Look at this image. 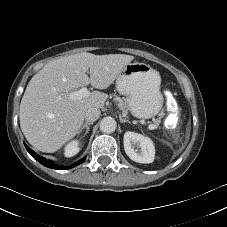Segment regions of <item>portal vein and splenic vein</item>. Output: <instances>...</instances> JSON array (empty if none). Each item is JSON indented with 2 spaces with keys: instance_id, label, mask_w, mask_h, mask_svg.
Here are the masks:
<instances>
[{
  "instance_id": "1",
  "label": "portal vein and splenic vein",
  "mask_w": 227,
  "mask_h": 227,
  "mask_svg": "<svg viewBox=\"0 0 227 227\" xmlns=\"http://www.w3.org/2000/svg\"><path fill=\"white\" fill-rule=\"evenodd\" d=\"M89 94H90V92H89V90L86 88V87H82L80 90H78V91H74V92H71L70 94H69V98L71 99V100H80V99H82V98H84V97H87V96H89ZM156 125H154V124H150V125H148V128L150 129V130H154V129H156Z\"/></svg>"
}]
</instances>
